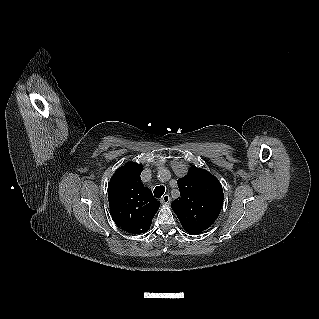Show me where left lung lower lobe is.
<instances>
[{"instance_id": "0a47b994", "label": "left lung lower lobe", "mask_w": 319, "mask_h": 319, "mask_svg": "<svg viewBox=\"0 0 319 319\" xmlns=\"http://www.w3.org/2000/svg\"><path fill=\"white\" fill-rule=\"evenodd\" d=\"M188 233H190V234H198V233H193V232H188Z\"/></svg>"}]
</instances>
